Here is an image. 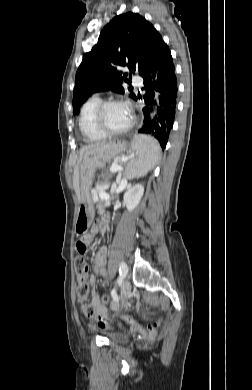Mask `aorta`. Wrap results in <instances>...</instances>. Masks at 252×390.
Returning <instances> with one entry per match:
<instances>
[{"mask_svg": "<svg viewBox=\"0 0 252 390\" xmlns=\"http://www.w3.org/2000/svg\"><path fill=\"white\" fill-rule=\"evenodd\" d=\"M154 114H155V111H154V113H151V117H153V116H154Z\"/></svg>", "mask_w": 252, "mask_h": 390, "instance_id": "aorta-1", "label": "aorta"}]
</instances>
